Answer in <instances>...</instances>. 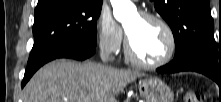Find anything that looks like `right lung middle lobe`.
I'll list each match as a JSON object with an SVG mask.
<instances>
[{"mask_svg": "<svg viewBox=\"0 0 221 102\" xmlns=\"http://www.w3.org/2000/svg\"><path fill=\"white\" fill-rule=\"evenodd\" d=\"M102 2L49 0L38 4L33 25L34 45L29 60L63 42L96 46V21Z\"/></svg>", "mask_w": 221, "mask_h": 102, "instance_id": "obj_1", "label": "right lung middle lobe"}]
</instances>
